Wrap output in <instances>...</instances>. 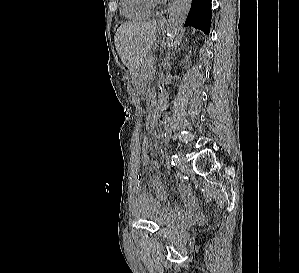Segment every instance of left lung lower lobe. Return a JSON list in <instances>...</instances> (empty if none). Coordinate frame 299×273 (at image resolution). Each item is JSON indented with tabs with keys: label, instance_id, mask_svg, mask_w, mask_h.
<instances>
[{
	"label": "left lung lower lobe",
	"instance_id": "obj_1",
	"mask_svg": "<svg viewBox=\"0 0 299 273\" xmlns=\"http://www.w3.org/2000/svg\"><path fill=\"white\" fill-rule=\"evenodd\" d=\"M211 16V0H192L184 26H193L205 34H209Z\"/></svg>",
	"mask_w": 299,
	"mask_h": 273
}]
</instances>
